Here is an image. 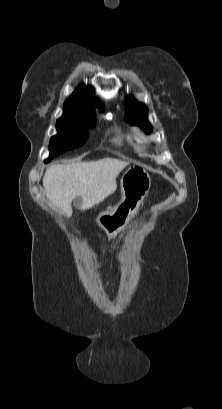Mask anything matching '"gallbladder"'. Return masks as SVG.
<instances>
[{
  "mask_svg": "<svg viewBox=\"0 0 222 409\" xmlns=\"http://www.w3.org/2000/svg\"><path fill=\"white\" fill-rule=\"evenodd\" d=\"M80 203H81V198H80V197H76V198L74 199V205H75L76 207H78V206H80Z\"/></svg>",
  "mask_w": 222,
  "mask_h": 409,
  "instance_id": "1",
  "label": "gallbladder"
}]
</instances>
